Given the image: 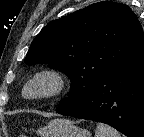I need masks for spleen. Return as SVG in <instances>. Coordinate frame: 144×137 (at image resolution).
I'll use <instances>...</instances> for the list:
<instances>
[{"instance_id":"1","label":"spleen","mask_w":144,"mask_h":137,"mask_svg":"<svg viewBox=\"0 0 144 137\" xmlns=\"http://www.w3.org/2000/svg\"><path fill=\"white\" fill-rule=\"evenodd\" d=\"M95 137H121L120 133L109 125L98 123Z\"/></svg>"}]
</instances>
